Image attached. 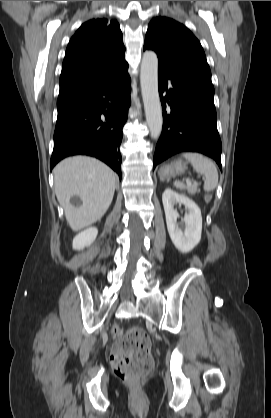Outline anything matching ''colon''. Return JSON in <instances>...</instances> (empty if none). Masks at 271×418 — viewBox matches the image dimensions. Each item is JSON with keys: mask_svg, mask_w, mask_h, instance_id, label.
Wrapping results in <instances>:
<instances>
[{"mask_svg": "<svg viewBox=\"0 0 271 418\" xmlns=\"http://www.w3.org/2000/svg\"><path fill=\"white\" fill-rule=\"evenodd\" d=\"M113 334L116 342L110 360L114 373L126 381H139L154 365L148 335L140 328H131L123 334L118 327Z\"/></svg>", "mask_w": 271, "mask_h": 418, "instance_id": "1", "label": "colon"}]
</instances>
